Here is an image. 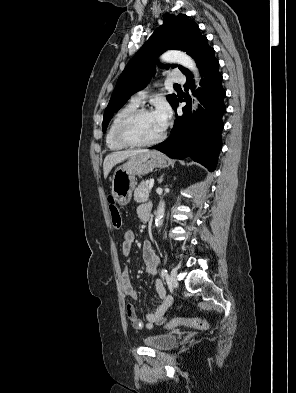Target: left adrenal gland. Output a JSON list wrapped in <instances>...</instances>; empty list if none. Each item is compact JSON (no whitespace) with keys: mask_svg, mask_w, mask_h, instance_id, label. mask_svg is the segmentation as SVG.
I'll return each mask as SVG.
<instances>
[{"mask_svg":"<svg viewBox=\"0 0 296 393\" xmlns=\"http://www.w3.org/2000/svg\"><path fill=\"white\" fill-rule=\"evenodd\" d=\"M163 176H164V175H162V176L160 177L159 183H162V181H163Z\"/></svg>","mask_w":296,"mask_h":393,"instance_id":"a2214340","label":"left adrenal gland"}]
</instances>
